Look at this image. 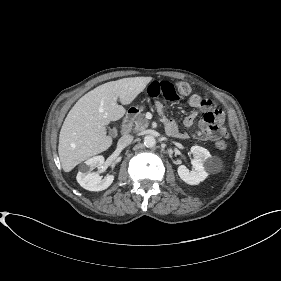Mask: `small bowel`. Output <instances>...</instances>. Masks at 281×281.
Listing matches in <instances>:
<instances>
[{
	"label": "small bowel",
	"instance_id": "1",
	"mask_svg": "<svg viewBox=\"0 0 281 281\" xmlns=\"http://www.w3.org/2000/svg\"><path fill=\"white\" fill-rule=\"evenodd\" d=\"M186 103L188 106L192 107L195 110L184 119V125L186 127L193 126L195 118L199 111L205 110L207 111V113L215 111L213 109V102L211 100L203 98L197 94H193L190 97H188ZM156 108L158 113L161 116H164L165 107L163 102L157 101ZM164 124H165V130L168 135L181 139L195 137V138H209L211 140H215L220 135V132L218 131H213V132L209 131L206 120L200 121L198 125V130L192 131L190 133L179 132L176 123L173 120L168 119L166 117H164Z\"/></svg>",
	"mask_w": 281,
	"mask_h": 281
}]
</instances>
